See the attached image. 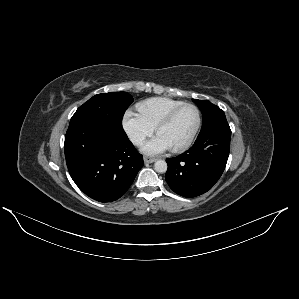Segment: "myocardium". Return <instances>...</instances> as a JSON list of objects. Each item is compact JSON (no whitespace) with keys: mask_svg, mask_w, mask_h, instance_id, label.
Instances as JSON below:
<instances>
[{"mask_svg":"<svg viewBox=\"0 0 299 299\" xmlns=\"http://www.w3.org/2000/svg\"><path fill=\"white\" fill-rule=\"evenodd\" d=\"M187 107H190V108H193L195 111H196V114H197V123H196V127L193 131V133L191 134V136L189 137V139L184 142L183 144L177 146V147H174L172 148V150L174 152H180V151H183L185 149H187L188 147H190L192 145V143L194 142V140L196 139L199 131H200V128H201V125H202V114H201V111L200 109L194 105V104H191V103H184L183 105L173 109L172 111H170L156 126V132L159 134V131L167 126L168 124H170L173 119L176 117V115L181 111L183 110L184 108H187Z\"/></svg>","mask_w":299,"mask_h":299,"instance_id":"f54148a6","label":"myocardium"}]
</instances>
